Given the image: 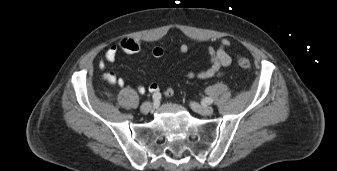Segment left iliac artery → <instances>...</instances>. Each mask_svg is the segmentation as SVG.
Wrapping results in <instances>:
<instances>
[{
    "mask_svg": "<svg viewBox=\"0 0 337 171\" xmlns=\"http://www.w3.org/2000/svg\"><path fill=\"white\" fill-rule=\"evenodd\" d=\"M204 102L207 103V104H212V103H213V99L210 98V97H206V98L204 99Z\"/></svg>",
    "mask_w": 337,
    "mask_h": 171,
    "instance_id": "44dca946",
    "label": "left iliac artery"
}]
</instances>
